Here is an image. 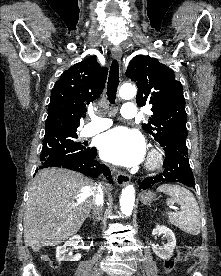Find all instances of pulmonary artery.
Instances as JSON below:
<instances>
[{
  "label": "pulmonary artery",
  "mask_w": 221,
  "mask_h": 276,
  "mask_svg": "<svg viewBox=\"0 0 221 276\" xmlns=\"http://www.w3.org/2000/svg\"><path fill=\"white\" fill-rule=\"evenodd\" d=\"M121 114L124 118L132 119L136 116L137 110L136 107L132 103H125L122 106ZM112 125L111 120L107 118H100L98 116L93 115L91 117V123L86 125L82 131L83 136H92L95 135Z\"/></svg>",
  "instance_id": "pulmonary-artery-1"
}]
</instances>
